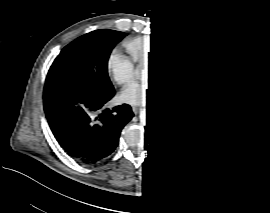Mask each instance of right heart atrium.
I'll use <instances>...</instances> for the list:
<instances>
[{"mask_svg": "<svg viewBox=\"0 0 270 213\" xmlns=\"http://www.w3.org/2000/svg\"><path fill=\"white\" fill-rule=\"evenodd\" d=\"M111 67L115 79L121 84L128 83L134 76V65L125 57L114 56L111 61Z\"/></svg>", "mask_w": 270, "mask_h": 213, "instance_id": "d8ad5b80", "label": "right heart atrium"}]
</instances>
